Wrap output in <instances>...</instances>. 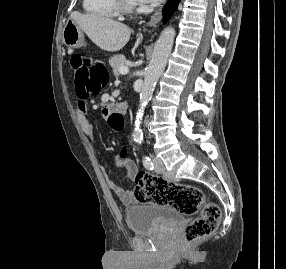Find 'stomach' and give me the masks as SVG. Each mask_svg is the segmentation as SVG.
<instances>
[{"mask_svg":"<svg viewBox=\"0 0 286 269\" xmlns=\"http://www.w3.org/2000/svg\"><path fill=\"white\" fill-rule=\"evenodd\" d=\"M63 43L71 48H79L84 44L83 30L73 20H68L62 34Z\"/></svg>","mask_w":286,"mask_h":269,"instance_id":"1","label":"stomach"}]
</instances>
